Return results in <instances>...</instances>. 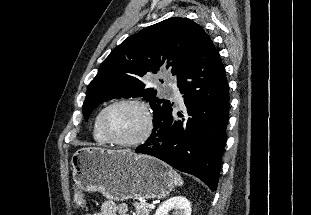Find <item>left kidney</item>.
<instances>
[{
  "label": "left kidney",
  "instance_id": "1",
  "mask_svg": "<svg viewBox=\"0 0 311 215\" xmlns=\"http://www.w3.org/2000/svg\"><path fill=\"white\" fill-rule=\"evenodd\" d=\"M191 215V204L184 196H175L159 206L155 215Z\"/></svg>",
  "mask_w": 311,
  "mask_h": 215
}]
</instances>
